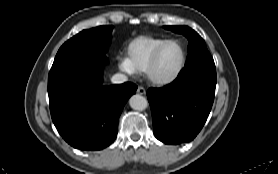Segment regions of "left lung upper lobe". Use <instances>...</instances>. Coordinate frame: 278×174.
<instances>
[{
    "mask_svg": "<svg viewBox=\"0 0 278 174\" xmlns=\"http://www.w3.org/2000/svg\"><path fill=\"white\" fill-rule=\"evenodd\" d=\"M164 28L183 34L189 41V55L185 67L179 75H187L196 71H207L216 74L214 60L208 52L204 40L197 32L187 26H164Z\"/></svg>",
    "mask_w": 278,
    "mask_h": 174,
    "instance_id": "1",
    "label": "left lung upper lobe"
}]
</instances>
